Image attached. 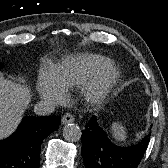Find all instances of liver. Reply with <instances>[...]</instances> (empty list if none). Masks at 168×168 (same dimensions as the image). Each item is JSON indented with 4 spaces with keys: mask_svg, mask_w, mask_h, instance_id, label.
I'll return each instance as SVG.
<instances>
[{
    "mask_svg": "<svg viewBox=\"0 0 168 168\" xmlns=\"http://www.w3.org/2000/svg\"><path fill=\"white\" fill-rule=\"evenodd\" d=\"M30 100L28 87L0 78V139L15 131Z\"/></svg>",
    "mask_w": 168,
    "mask_h": 168,
    "instance_id": "liver-1",
    "label": "liver"
}]
</instances>
